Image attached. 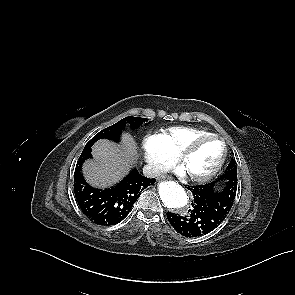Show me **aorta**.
Segmentation results:
<instances>
[{"instance_id": "762f6f07", "label": "aorta", "mask_w": 295, "mask_h": 295, "mask_svg": "<svg viewBox=\"0 0 295 295\" xmlns=\"http://www.w3.org/2000/svg\"><path fill=\"white\" fill-rule=\"evenodd\" d=\"M160 198L170 209H181L188 204V195L185 190L174 181H163L158 185Z\"/></svg>"}]
</instances>
